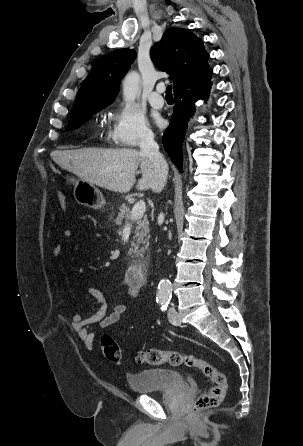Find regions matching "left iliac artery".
Listing matches in <instances>:
<instances>
[{
  "instance_id": "44dca946",
  "label": "left iliac artery",
  "mask_w": 303,
  "mask_h": 446,
  "mask_svg": "<svg viewBox=\"0 0 303 446\" xmlns=\"http://www.w3.org/2000/svg\"><path fill=\"white\" fill-rule=\"evenodd\" d=\"M168 304H169V301H164L163 304H162V306H161V309H162L163 311L166 310Z\"/></svg>"
}]
</instances>
